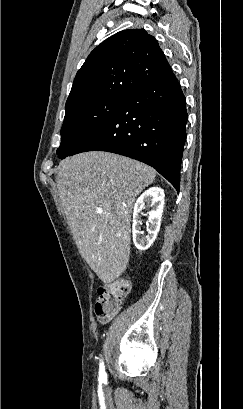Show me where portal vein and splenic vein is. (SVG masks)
<instances>
[{"instance_id":"18ae733b","label":"portal vein and splenic vein","mask_w":243,"mask_h":409,"mask_svg":"<svg viewBox=\"0 0 243 409\" xmlns=\"http://www.w3.org/2000/svg\"><path fill=\"white\" fill-rule=\"evenodd\" d=\"M97 211H98V213H101V212H102V209H98Z\"/></svg>"}]
</instances>
